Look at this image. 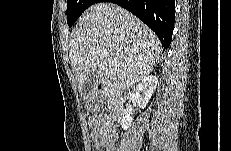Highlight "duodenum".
<instances>
[{"label": "duodenum", "instance_id": "duodenum-1", "mask_svg": "<svg viewBox=\"0 0 231 151\" xmlns=\"http://www.w3.org/2000/svg\"><path fill=\"white\" fill-rule=\"evenodd\" d=\"M96 91L100 95H106L110 99H113L114 103L111 106V110L114 115L111 116L113 122H118L122 114V107L119 102L120 89L116 86L110 85L105 81H100L96 85Z\"/></svg>", "mask_w": 231, "mask_h": 151}]
</instances>
